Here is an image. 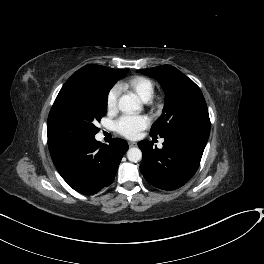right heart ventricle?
I'll return each mask as SVG.
<instances>
[{
    "label": "right heart ventricle",
    "mask_w": 264,
    "mask_h": 264,
    "mask_svg": "<svg viewBox=\"0 0 264 264\" xmlns=\"http://www.w3.org/2000/svg\"><path fill=\"white\" fill-rule=\"evenodd\" d=\"M121 87L134 92L142 101H149L155 91L154 82L144 76H134L122 82Z\"/></svg>",
    "instance_id": "right-heart-ventricle-1"
}]
</instances>
